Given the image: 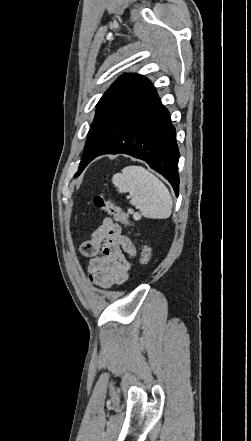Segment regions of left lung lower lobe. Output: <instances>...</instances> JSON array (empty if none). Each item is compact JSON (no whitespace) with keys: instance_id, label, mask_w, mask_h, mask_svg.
<instances>
[{"instance_id":"0a47b994","label":"left lung lower lobe","mask_w":251,"mask_h":441,"mask_svg":"<svg viewBox=\"0 0 251 441\" xmlns=\"http://www.w3.org/2000/svg\"><path fill=\"white\" fill-rule=\"evenodd\" d=\"M128 154L144 160L179 192L175 128L156 90L142 96L125 115L102 116L92 123L82 157V169L104 154Z\"/></svg>"}]
</instances>
